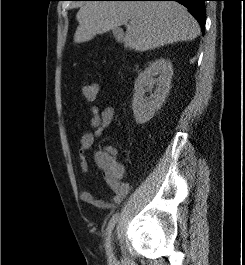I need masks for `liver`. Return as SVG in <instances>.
Here are the masks:
<instances>
[{"label": "liver", "instance_id": "1", "mask_svg": "<svg viewBox=\"0 0 245 265\" xmlns=\"http://www.w3.org/2000/svg\"><path fill=\"white\" fill-rule=\"evenodd\" d=\"M76 19L75 43L126 25L124 46L140 52L193 40L200 34L197 21L174 1H88L80 5Z\"/></svg>", "mask_w": 245, "mask_h": 265}]
</instances>
